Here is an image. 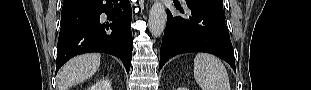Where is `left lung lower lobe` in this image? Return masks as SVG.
I'll use <instances>...</instances> for the list:
<instances>
[{"label": "left lung lower lobe", "mask_w": 311, "mask_h": 90, "mask_svg": "<svg viewBox=\"0 0 311 90\" xmlns=\"http://www.w3.org/2000/svg\"><path fill=\"white\" fill-rule=\"evenodd\" d=\"M186 4L191 11L186 17L173 16L167 10L159 68L178 54L207 52L222 58L235 70L234 51L223 12L196 2L186 1ZM176 7L184 12L180 5Z\"/></svg>", "instance_id": "left-lung-lower-lobe-1"}]
</instances>
